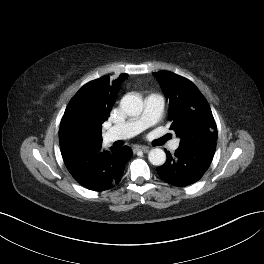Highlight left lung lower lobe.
<instances>
[{
  "mask_svg": "<svg viewBox=\"0 0 264 264\" xmlns=\"http://www.w3.org/2000/svg\"><path fill=\"white\" fill-rule=\"evenodd\" d=\"M166 155L167 161L157 168L158 174L171 185L185 187L197 182L203 176L209 168L214 154L178 148L174 156L168 151H166Z\"/></svg>",
  "mask_w": 264,
  "mask_h": 264,
  "instance_id": "left-lung-lower-lobe-1",
  "label": "left lung lower lobe"
}]
</instances>
